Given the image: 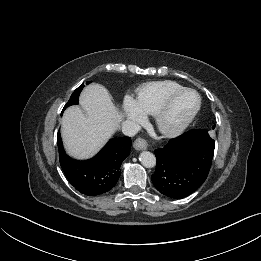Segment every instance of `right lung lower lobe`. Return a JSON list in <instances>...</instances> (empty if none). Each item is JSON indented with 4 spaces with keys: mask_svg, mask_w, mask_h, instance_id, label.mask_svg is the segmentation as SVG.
<instances>
[{
    "mask_svg": "<svg viewBox=\"0 0 261 261\" xmlns=\"http://www.w3.org/2000/svg\"><path fill=\"white\" fill-rule=\"evenodd\" d=\"M131 138L111 139L92 159L77 161L64 151L60 133L57 136L60 165L68 181L76 190L87 196L110 191L120 177V166L129 155Z\"/></svg>",
    "mask_w": 261,
    "mask_h": 261,
    "instance_id": "98d812e1",
    "label": "right lung lower lobe"
}]
</instances>
